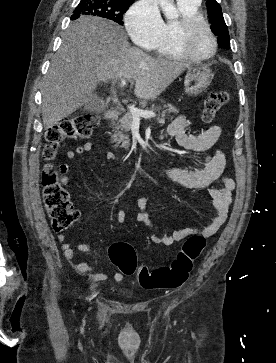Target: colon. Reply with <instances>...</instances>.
I'll use <instances>...</instances> for the list:
<instances>
[{
  "label": "colon",
  "mask_w": 276,
  "mask_h": 363,
  "mask_svg": "<svg viewBox=\"0 0 276 363\" xmlns=\"http://www.w3.org/2000/svg\"><path fill=\"white\" fill-rule=\"evenodd\" d=\"M228 92L219 90L211 92L204 101L203 118L211 122L217 112L227 103ZM99 123L95 113H83L73 118L60 121L45 132L47 146L44 158L51 161L56 156L57 146L65 139L88 138ZM59 170L48 163L42 170V186L44 204L51 220L54 232L66 231L79 217V212L70 203L67 190L59 182ZM205 238L195 235L188 238L182 245L176 258L169 266L150 270L144 265H137L134 248L125 242L114 243L109 247L110 261L125 275L136 274V280L143 289H172L185 283L193 268V261L205 247Z\"/></svg>",
  "instance_id": "obj_1"
}]
</instances>
